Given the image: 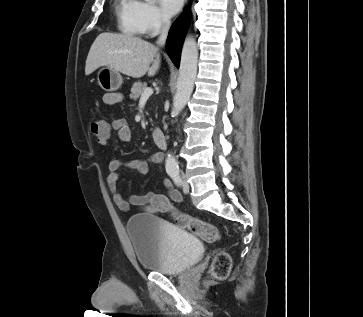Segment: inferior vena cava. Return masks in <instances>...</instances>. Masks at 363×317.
Instances as JSON below:
<instances>
[{"mask_svg": "<svg viewBox=\"0 0 363 317\" xmlns=\"http://www.w3.org/2000/svg\"><path fill=\"white\" fill-rule=\"evenodd\" d=\"M162 21H163L164 25H163L161 35L159 36L158 41H157V44L160 45V46L165 44L166 39H167V35H168V30H169V27H170V19L169 18L163 17Z\"/></svg>", "mask_w": 363, "mask_h": 317, "instance_id": "1", "label": "inferior vena cava"}]
</instances>
